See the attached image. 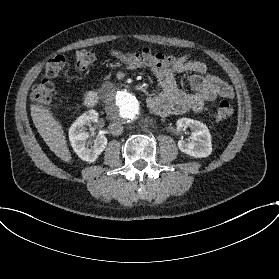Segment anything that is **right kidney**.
I'll return each mask as SVG.
<instances>
[{"mask_svg":"<svg viewBox=\"0 0 279 279\" xmlns=\"http://www.w3.org/2000/svg\"><path fill=\"white\" fill-rule=\"evenodd\" d=\"M98 119V112L89 110L79 116L69 128V140L74 152L83 161L92 163L103 152L107 145V138L104 135H98L94 140L91 148L86 147V140L89 134L85 131L84 126Z\"/></svg>","mask_w":279,"mask_h":279,"instance_id":"right-kidney-1","label":"right kidney"}]
</instances>
